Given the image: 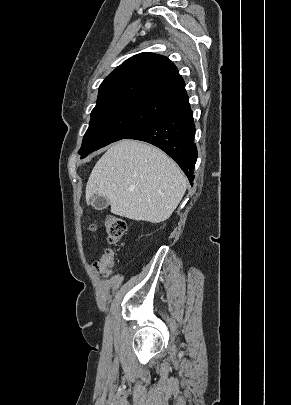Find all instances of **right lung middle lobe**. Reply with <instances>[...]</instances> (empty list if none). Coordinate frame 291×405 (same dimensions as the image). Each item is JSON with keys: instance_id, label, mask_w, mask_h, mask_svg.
I'll use <instances>...</instances> for the list:
<instances>
[{"instance_id": "obj_1", "label": "right lung middle lobe", "mask_w": 291, "mask_h": 405, "mask_svg": "<svg viewBox=\"0 0 291 405\" xmlns=\"http://www.w3.org/2000/svg\"><path fill=\"white\" fill-rule=\"evenodd\" d=\"M169 104L147 99H125L95 106L79 154L81 158L140 129Z\"/></svg>"}]
</instances>
